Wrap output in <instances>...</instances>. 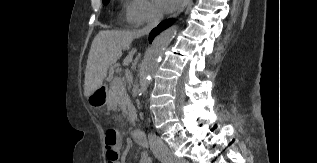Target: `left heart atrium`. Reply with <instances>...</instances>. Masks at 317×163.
<instances>
[{
    "mask_svg": "<svg viewBox=\"0 0 317 163\" xmlns=\"http://www.w3.org/2000/svg\"><path fill=\"white\" fill-rule=\"evenodd\" d=\"M181 0H155L157 7L164 12L172 11Z\"/></svg>",
    "mask_w": 317,
    "mask_h": 163,
    "instance_id": "left-heart-atrium-1",
    "label": "left heart atrium"
}]
</instances>
